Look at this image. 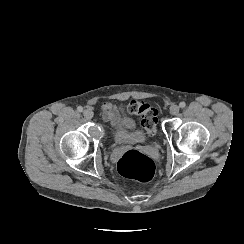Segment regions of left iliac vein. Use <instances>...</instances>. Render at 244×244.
<instances>
[{
    "label": "left iliac vein",
    "mask_w": 244,
    "mask_h": 244,
    "mask_svg": "<svg viewBox=\"0 0 244 244\" xmlns=\"http://www.w3.org/2000/svg\"><path fill=\"white\" fill-rule=\"evenodd\" d=\"M170 113H171L172 115H176V114H178V113H179V106H177V105H172V106L170 107Z\"/></svg>",
    "instance_id": "1"
}]
</instances>
